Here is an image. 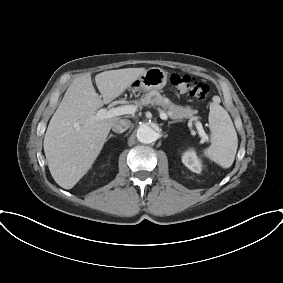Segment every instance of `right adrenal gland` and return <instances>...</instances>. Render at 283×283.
Instances as JSON below:
<instances>
[{"label": "right adrenal gland", "instance_id": "1", "mask_svg": "<svg viewBox=\"0 0 283 283\" xmlns=\"http://www.w3.org/2000/svg\"><path fill=\"white\" fill-rule=\"evenodd\" d=\"M112 137H116V135H113V134H110L109 136H108V138L106 139V141H108L110 138H112Z\"/></svg>", "mask_w": 283, "mask_h": 283}]
</instances>
